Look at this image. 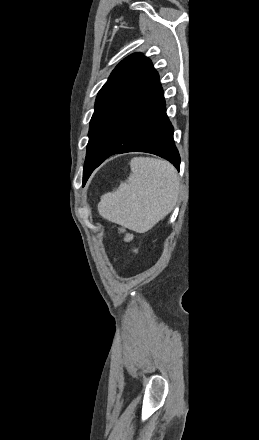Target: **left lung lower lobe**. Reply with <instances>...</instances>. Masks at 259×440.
<instances>
[{
  "label": "left lung lower lobe",
  "instance_id": "obj_1",
  "mask_svg": "<svg viewBox=\"0 0 259 440\" xmlns=\"http://www.w3.org/2000/svg\"><path fill=\"white\" fill-rule=\"evenodd\" d=\"M173 132L166 115L159 75L155 72L148 87L117 126L94 169L113 154L147 152L165 158L179 170L180 156Z\"/></svg>",
  "mask_w": 259,
  "mask_h": 440
}]
</instances>
